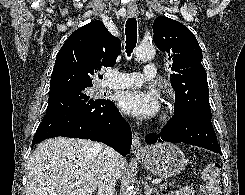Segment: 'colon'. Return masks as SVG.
Masks as SVG:
<instances>
[{"label": "colon", "instance_id": "obj_1", "mask_svg": "<svg viewBox=\"0 0 245 195\" xmlns=\"http://www.w3.org/2000/svg\"><path fill=\"white\" fill-rule=\"evenodd\" d=\"M201 195H221L219 178L215 172L209 171L205 173Z\"/></svg>", "mask_w": 245, "mask_h": 195}]
</instances>
